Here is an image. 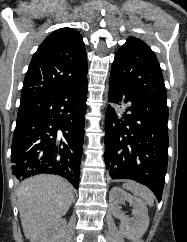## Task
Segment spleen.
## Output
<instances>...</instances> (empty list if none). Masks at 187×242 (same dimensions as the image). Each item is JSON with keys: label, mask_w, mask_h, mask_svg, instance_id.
Returning a JSON list of instances; mask_svg holds the SVG:
<instances>
[{"label": "spleen", "mask_w": 187, "mask_h": 242, "mask_svg": "<svg viewBox=\"0 0 187 242\" xmlns=\"http://www.w3.org/2000/svg\"><path fill=\"white\" fill-rule=\"evenodd\" d=\"M123 188L145 200L149 206H153L154 195L147 187L133 181H127L123 184Z\"/></svg>", "instance_id": "obj_1"}]
</instances>
